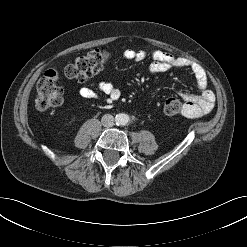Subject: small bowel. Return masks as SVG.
<instances>
[{"label":"small bowel","instance_id":"c3829d8e","mask_svg":"<svg viewBox=\"0 0 247 247\" xmlns=\"http://www.w3.org/2000/svg\"><path fill=\"white\" fill-rule=\"evenodd\" d=\"M146 51L126 50L124 57L126 60L141 62L148 57ZM152 62L149 71L152 74L164 72L166 70L177 68L189 70L193 75L198 87L197 94L180 93L184 100V109L182 114L185 117L197 118L210 112L214 106V94L207 88L208 78L205 70L197 63L183 57H176L162 50H155L151 53ZM98 91L110 99H117L120 95L119 90L109 82H100ZM80 95L85 99H96L98 93L90 88H82Z\"/></svg>","mask_w":247,"mask_h":247}]
</instances>
